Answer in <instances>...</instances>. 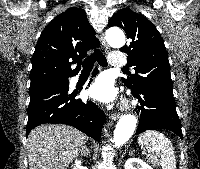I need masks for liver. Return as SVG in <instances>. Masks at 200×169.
<instances>
[{"instance_id": "liver-1", "label": "liver", "mask_w": 200, "mask_h": 169, "mask_svg": "<svg viewBox=\"0 0 200 169\" xmlns=\"http://www.w3.org/2000/svg\"><path fill=\"white\" fill-rule=\"evenodd\" d=\"M88 137L67 125H40L27 138L29 169H67Z\"/></svg>"}]
</instances>
